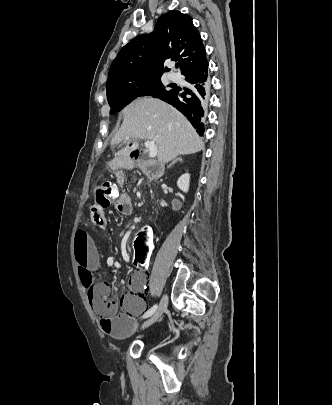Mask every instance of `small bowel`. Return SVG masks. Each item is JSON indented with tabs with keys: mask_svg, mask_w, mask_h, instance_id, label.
I'll return each mask as SVG.
<instances>
[{
	"mask_svg": "<svg viewBox=\"0 0 332 405\" xmlns=\"http://www.w3.org/2000/svg\"><path fill=\"white\" fill-rule=\"evenodd\" d=\"M122 164L127 168H132L134 162L132 159L126 157L122 160ZM117 180H124L126 173L124 171H117L115 173ZM120 197H116L112 204L113 211H117L121 215L128 216L133 212V199L131 196L124 192L118 193ZM89 217H101L102 224L94 221L95 225L102 227L105 224V218L102 208H89ZM136 223V222H135ZM131 251H126L123 254L125 262L131 261ZM74 256L77 263V270L79 275V286L83 291H88L93 283V272L98 267L99 255L96 245L91 236L82 229H79L75 234L74 239ZM109 265H115L112 260ZM147 284V275L143 270H138L132 274L128 280L130 293L123 299V308L125 313L118 316L101 317L100 325L102 330L109 336L120 339L132 333L137 325L136 318L139 317L146 308L145 299L143 294Z\"/></svg>",
	"mask_w": 332,
	"mask_h": 405,
	"instance_id": "small-bowel-1",
	"label": "small bowel"
}]
</instances>
